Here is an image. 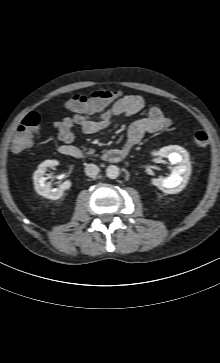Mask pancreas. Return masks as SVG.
<instances>
[{
	"label": "pancreas",
	"instance_id": "1",
	"mask_svg": "<svg viewBox=\"0 0 220 363\" xmlns=\"http://www.w3.org/2000/svg\"><path fill=\"white\" fill-rule=\"evenodd\" d=\"M83 150H84V151H86L87 149H86V148H84ZM94 152H95V150H94V149H89V150L87 151V154L92 155V154H94Z\"/></svg>",
	"mask_w": 220,
	"mask_h": 363
}]
</instances>
